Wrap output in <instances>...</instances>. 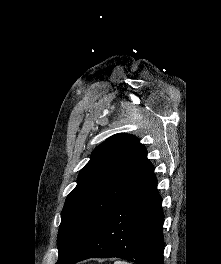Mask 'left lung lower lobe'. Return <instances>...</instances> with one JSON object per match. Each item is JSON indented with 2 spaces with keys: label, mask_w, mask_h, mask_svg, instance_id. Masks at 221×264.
Wrapping results in <instances>:
<instances>
[{
  "label": "left lung lower lobe",
  "mask_w": 221,
  "mask_h": 264,
  "mask_svg": "<svg viewBox=\"0 0 221 264\" xmlns=\"http://www.w3.org/2000/svg\"><path fill=\"white\" fill-rule=\"evenodd\" d=\"M152 171L56 264L118 257L136 264H164V214Z\"/></svg>",
  "instance_id": "obj_1"
}]
</instances>
